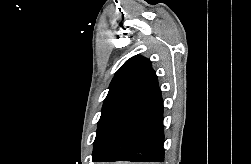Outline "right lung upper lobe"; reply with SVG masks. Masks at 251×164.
Segmentation results:
<instances>
[{"label":"right lung upper lobe","instance_id":"cb5924a9","mask_svg":"<svg viewBox=\"0 0 251 164\" xmlns=\"http://www.w3.org/2000/svg\"><path fill=\"white\" fill-rule=\"evenodd\" d=\"M158 85L155 71L151 62L140 55L128 59L117 71L109 86V93L133 89L145 91Z\"/></svg>","mask_w":251,"mask_h":164}]
</instances>
